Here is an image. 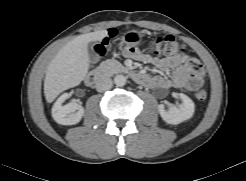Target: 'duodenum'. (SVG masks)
I'll list each match as a JSON object with an SVG mask.
<instances>
[{"mask_svg":"<svg viewBox=\"0 0 246 181\" xmlns=\"http://www.w3.org/2000/svg\"><path fill=\"white\" fill-rule=\"evenodd\" d=\"M126 71H129V70L126 69ZM130 75L137 83H140V84H147L150 79L148 76L142 73H139V72L132 71L130 72ZM85 81L87 85L91 87L102 86L105 81V74L102 70H99V69L92 70L87 74Z\"/></svg>","mask_w":246,"mask_h":181,"instance_id":"1","label":"duodenum"}]
</instances>
